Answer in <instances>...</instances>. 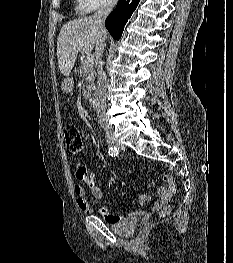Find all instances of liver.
Here are the masks:
<instances>
[{
    "mask_svg": "<svg viewBox=\"0 0 233 263\" xmlns=\"http://www.w3.org/2000/svg\"><path fill=\"white\" fill-rule=\"evenodd\" d=\"M98 29L92 17L67 22L57 40L58 68L69 76L79 52L90 54L98 42Z\"/></svg>",
    "mask_w": 233,
    "mask_h": 263,
    "instance_id": "liver-1",
    "label": "liver"
}]
</instances>
